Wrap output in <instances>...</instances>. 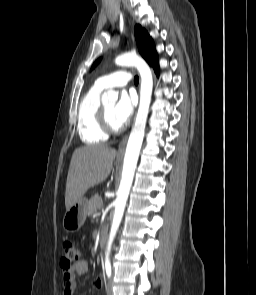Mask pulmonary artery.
I'll return each instance as SVG.
<instances>
[{
    "label": "pulmonary artery",
    "instance_id": "1",
    "mask_svg": "<svg viewBox=\"0 0 256 295\" xmlns=\"http://www.w3.org/2000/svg\"><path fill=\"white\" fill-rule=\"evenodd\" d=\"M132 76L125 70L114 71L108 75L100 77L96 81V85L102 89H109L114 87H123L128 84Z\"/></svg>",
    "mask_w": 256,
    "mask_h": 295
}]
</instances>
